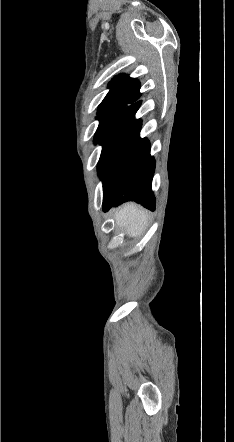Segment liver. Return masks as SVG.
I'll list each match as a JSON object with an SVG mask.
<instances>
[{
	"mask_svg": "<svg viewBox=\"0 0 234 442\" xmlns=\"http://www.w3.org/2000/svg\"><path fill=\"white\" fill-rule=\"evenodd\" d=\"M116 224L130 237L142 234L148 222V213L135 203H127L114 211Z\"/></svg>",
	"mask_w": 234,
	"mask_h": 442,
	"instance_id": "6515ba94",
	"label": "liver"
}]
</instances>
